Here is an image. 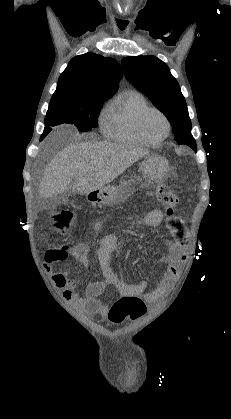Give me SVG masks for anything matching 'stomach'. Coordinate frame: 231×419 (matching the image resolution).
Segmentation results:
<instances>
[{
	"label": "stomach",
	"mask_w": 231,
	"mask_h": 419,
	"mask_svg": "<svg viewBox=\"0 0 231 419\" xmlns=\"http://www.w3.org/2000/svg\"><path fill=\"white\" fill-rule=\"evenodd\" d=\"M140 171L146 181L161 182L169 171L168 161L159 155L148 154L140 164ZM133 181H123L119 185H108L87 194V200L93 205L115 204L121 202L131 194Z\"/></svg>",
	"instance_id": "obj_1"
}]
</instances>
